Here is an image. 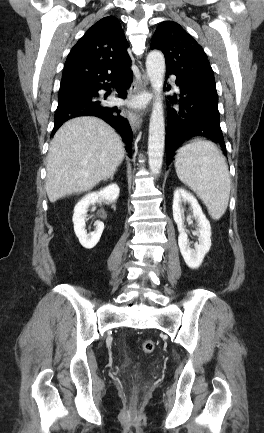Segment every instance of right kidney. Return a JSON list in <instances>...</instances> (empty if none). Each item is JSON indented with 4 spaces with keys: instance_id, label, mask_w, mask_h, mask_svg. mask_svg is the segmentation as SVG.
I'll use <instances>...</instances> for the list:
<instances>
[{
    "instance_id": "ca27d5eb",
    "label": "right kidney",
    "mask_w": 264,
    "mask_h": 433,
    "mask_svg": "<svg viewBox=\"0 0 264 433\" xmlns=\"http://www.w3.org/2000/svg\"><path fill=\"white\" fill-rule=\"evenodd\" d=\"M119 187L117 184H110L99 192H92L84 196L74 207L73 224L76 236L81 245L91 249L99 242L104 230V223L97 221L96 228L93 232L87 233L85 227L86 213L90 205L95 204L99 199L114 202L119 196Z\"/></svg>"
}]
</instances>
